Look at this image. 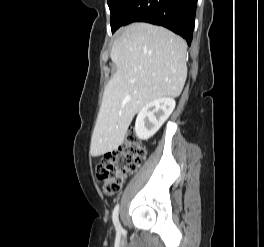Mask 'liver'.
<instances>
[{
	"instance_id": "6515ba94",
	"label": "liver",
	"mask_w": 264,
	"mask_h": 247,
	"mask_svg": "<svg viewBox=\"0 0 264 247\" xmlns=\"http://www.w3.org/2000/svg\"><path fill=\"white\" fill-rule=\"evenodd\" d=\"M186 51V42L163 27L133 23L118 32L110 54L117 70L104 89L92 156L116 150L147 103L181 94L187 77Z\"/></svg>"
}]
</instances>
